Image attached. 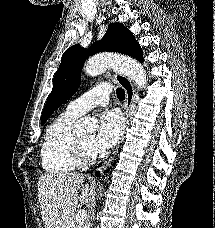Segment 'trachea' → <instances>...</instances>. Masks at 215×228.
I'll use <instances>...</instances> for the list:
<instances>
[{"instance_id":"trachea-1","label":"trachea","mask_w":215,"mask_h":228,"mask_svg":"<svg viewBox=\"0 0 215 228\" xmlns=\"http://www.w3.org/2000/svg\"><path fill=\"white\" fill-rule=\"evenodd\" d=\"M116 94H117V97L119 98V100L125 99V91L123 90V88H117Z\"/></svg>"}]
</instances>
